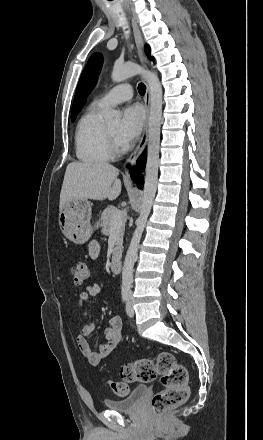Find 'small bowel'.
I'll list each match as a JSON object with an SVG mask.
<instances>
[{
	"label": "small bowel",
	"mask_w": 263,
	"mask_h": 440,
	"mask_svg": "<svg viewBox=\"0 0 263 440\" xmlns=\"http://www.w3.org/2000/svg\"><path fill=\"white\" fill-rule=\"evenodd\" d=\"M99 252V244L92 242L89 246L90 257L93 259L97 258ZM103 289V284H90L79 294L78 298V305L88 320L77 336V345L83 356L93 365L99 364L102 359L109 356L120 345L123 339L122 319L120 316L115 315L109 319V324L106 328V342L102 343L98 350L93 349L88 341V338L94 332L95 326L90 320V315L86 307L94 297L102 293Z\"/></svg>",
	"instance_id": "1"
}]
</instances>
